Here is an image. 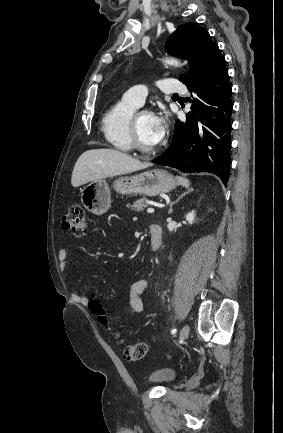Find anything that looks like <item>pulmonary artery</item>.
Segmentation results:
<instances>
[{
  "label": "pulmonary artery",
  "mask_w": 283,
  "mask_h": 433,
  "mask_svg": "<svg viewBox=\"0 0 283 433\" xmlns=\"http://www.w3.org/2000/svg\"><path fill=\"white\" fill-rule=\"evenodd\" d=\"M155 84L161 88L163 92H178L179 96H188L189 88L184 83H179L178 78H158ZM139 86L129 89L124 98L132 104L140 107L143 105L147 96V91L144 90V86L141 89H137Z\"/></svg>",
  "instance_id": "obj_1"
}]
</instances>
